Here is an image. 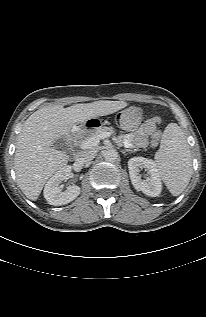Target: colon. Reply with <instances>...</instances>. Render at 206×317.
Instances as JSON below:
<instances>
[{
	"mask_svg": "<svg viewBox=\"0 0 206 317\" xmlns=\"http://www.w3.org/2000/svg\"><path fill=\"white\" fill-rule=\"evenodd\" d=\"M114 121L122 129H134L142 121V111L136 106L128 107L117 113Z\"/></svg>",
	"mask_w": 206,
	"mask_h": 317,
	"instance_id": "colon-1",
	"label": "colon"
}]
</instances>
